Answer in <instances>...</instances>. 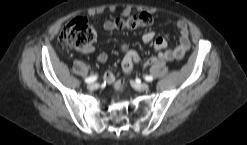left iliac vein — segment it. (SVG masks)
I'll list each match as a JSON object with an SVG mask.
<instances>
[{
  "label": "left iliac vein",
  "instance_id": "4c4485c4",
  "mask_svg": "<svg viewBox=\"0 0 247 145\" xmlns=\"http://www.w3.org/2000/svg\"><path fill=\"white\" fill-rule=\"evenodd\" d=\"M133 86L138 91H146L149 89L148 83H133Z\"/></svg>",
  "mask_w": 247,
  "mask_h": 145
}]
</instances>
